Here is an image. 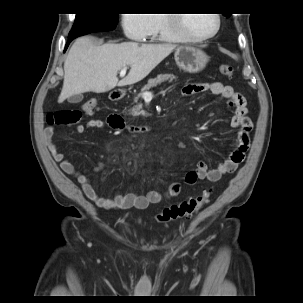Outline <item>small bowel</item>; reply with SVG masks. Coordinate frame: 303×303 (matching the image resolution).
<instances>
[{
    "mask_svg": "<svg viewBox=\"0 0 303 303\" xmlns=\"http://www.w3.org/2000/svg\"><path fill=\"white\" fill-rule=\"evenodd\" d=\"M205 91L225 98L228 101V105L235 108V115L231 120V125L238 129L235 139L236 148L230 153L229 157L216 168L210 169L205 161H198L195 169L188 171L185 175L184 183L188 185H193L199 180H208L209 182L215 183L218 182L223 175L234 173L244 160L245 152L249 146L250 132L252 131V122L245 116L246 101L242 94L234 91L232 86L223 85L219 82L210 84L190 83L182 89L183 94L186 96ZM110 126L117 129L115 122L110 123ZM106 129V122L100 119H91L85 125H78L76 127L79 133L86 132L87 130L104 131ZM54 131L55 130L50 127L45 129L46 145L54 161L60 165L65 173L75 176L84 194L102 209H146L151 204L160 203L164 199L179 196L181 193L182 182H173L164 193L148 191L146 194H122L121 192H117L113 197L101 196L85 172L77 171L65 156L58 151L57 145L52 139ZM103 169V162H98L94 168L96 172Z\"/></svg>",
    "mask_w": 303,
    "mask_h": 303,
    "instance_id": "obj_1",
    "label": "small bowel"
}]
</instances>
